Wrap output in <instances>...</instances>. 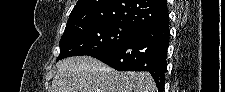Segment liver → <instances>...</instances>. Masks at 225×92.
Instances as JSON below:
<instances>
[{
  "label": "liver",
  "instance_id": "1",
  "mask_svg": "<svg viewBox=\"0 0 225 92\" xmlns=\"http://www.w3.org/2000/svg\"><path fill=\"white\" fill-rule=\"evenodd\" d=\"M148 72H119L90 56L56 64L52 92H156Z\"/></svg>",
  "mask_w": 225,
  "mask_h": 92
}]
</instances>
